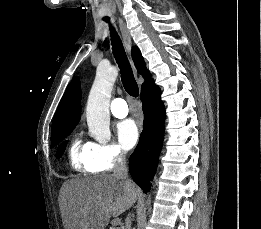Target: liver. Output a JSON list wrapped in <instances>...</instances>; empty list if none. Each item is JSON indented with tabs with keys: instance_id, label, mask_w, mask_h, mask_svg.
Returning <instances> with one entry per match:
<instances>
[{
	"instance_id": "obj_1",
	"label": "liver",
	"mask_w": 261,
	"mask_h": 229,
	"mask_svg": "<svg viewBox=\"0 0 261 229\" xmlns=\"http://www.w3.org/2000/svg\"><path fill=\"white\" fill-rule=\"evenodd\" d=\"M66 229H105L137 201L134 183L125 185L113 175L71 179L64 185Z\"/></svg>"
}]
</instances>
